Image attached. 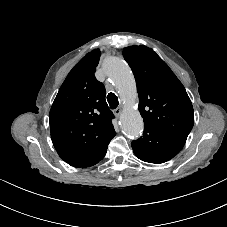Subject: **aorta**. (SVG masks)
<instances>
[{"instance_id": "obj_1", "label": "aorta", "mask_w": 227, "mask_h": 227, "mask_svg": "<svg viewBox=\"0 0 227 227\" xmlns=\"http://www.w3.org/2000/svg\"><path fill=\"white\" fill-rule=\"evenodd\" d=\"M106 75L116 85L125 109L120 116L123 132L127 136L138 137L142 134L143 119L137 109L132 108L137 98L135 79L128 64L118 57H109L103 64Z\"/></svg>"}]
</instances>
